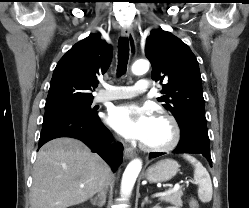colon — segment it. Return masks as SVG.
Returning a JSON list of instances; mask_svg holds the SVG:
<instances>
[{"label": "colon", "mask_w": 249, "mask_h": 208, "mask_svg": "<svg viewBox=\"0 0 249 208\" xmlns=\"http://www.w3.org/2000/svg\"><path fill=\"white\" fill-rule=\"evenodd\" d=\"M190 206H191V208H199L198 202L193 198L190 201Z\"/></svg>", "instance_id": "obj_1"}]
</instances>
